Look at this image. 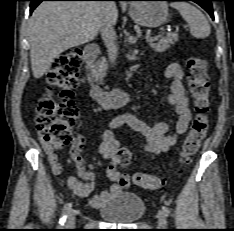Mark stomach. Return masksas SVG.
Masks as SVG:
<instances>
[{"label":"stomach","mask_w":234,"mask_h":231,"mask_svg":"<svg viewBox=\"0 0 234 231\" xmlns=\"http://www.w3.org/2000/svg\"><path fill=\"white\" fill-rule=\"evenodd\" d=\"M129 14L135 23L150 28L163 25L169 16L167 3L158 0L133 2Z\"/></svg>","instance_id":"0dacf381"}]
</instances>
